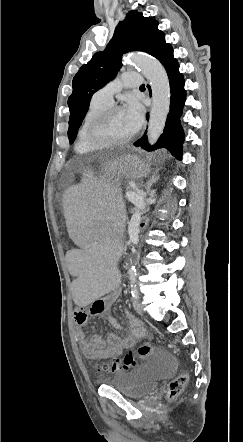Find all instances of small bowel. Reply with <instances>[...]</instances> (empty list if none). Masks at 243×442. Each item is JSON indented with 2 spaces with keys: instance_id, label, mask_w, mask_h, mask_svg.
<instances>
[{
  "instance_id": "obj_1",
  "label": "small bowel",
  "mask_w": 243,
  "mask_h": 442,
  "mask_svg": "<svg viewBox=\"0 0 243 442\" xmlns=\"http://www.w3.org/2000/svg\"><path fill=\"white\" fill-rule=\"evenodd\" d=\"M120 291H117L116 296H105L99 302H94L89 309L92 316L101 315L104 310L111 306ZM88 315L84 310V307H79L74 313V319L76 324V338L79 343V347L83 354L90 359L103 360L108 357H117L123 350L133 347L138 339L144 335V328L141 322L130 312H127V319L130 326V332L124 336H118L116 334H110L107 338H104L100 334H94L91 337H87L84 326L87 322ZM108 323L115 329H123V325L115 318L109 317Z\"/></svg>"
}]
</instances>
